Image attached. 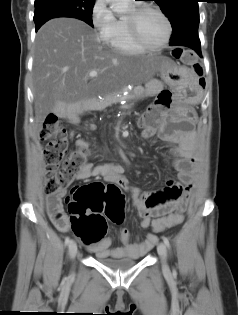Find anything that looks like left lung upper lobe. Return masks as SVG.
Here are the masks:
<instances>
[{
    "instance_id": "obj_1",
    "label": "left lung upper lobe",
    "mask_w": 238,
    "mask_h": 315,
    "mask_svg": "<svg viewBox=\"0 0 238 315\" xmlns=\"http://www.w3.org/2000/svg\"><path fill=\"white\" fill-rule=\"evenodd\" d=\"M167 15L173 34L171 42L198 33V0H153Z\"/></svg>"
}]
</instances>
